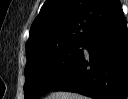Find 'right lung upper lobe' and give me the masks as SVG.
Returning <instances> with one entry per match:
<instances>
[{
	"instance_id": "right-lung-upper-lobe-1",
	"label": "right lung upper lobe",
	"mask_w": 128,
	"mask_h": 99,
	"mask_svg": "<svg viewBox=\"0 0 128 99\" xmlns=\"http://www.w3.org/2000/svg\"><path fill=\"white\" fill-rule=\"evenodd\" d=\"M121 7L119 0H47L32 23L27 58L83 42Z\"/></svg>"
}]
</instances>
